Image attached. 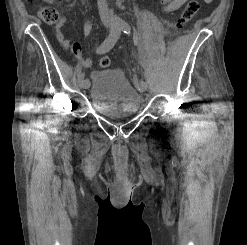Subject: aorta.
Returning <instances> with one entry per match:
<instances>
[{"mask_svg": "<svg viewBox=\"0 0 247 245\" xmlns=\"http://www.w3.org/2000/svg\"><path fill=\"white\" fill-rule=\"evenodd\" d=\"M110 19H111V22L115 25H120L122 23V19L118 17L117 15H115L113 11L110 12Z\"/></svg>", "mask_w": 247, "mask_h": 245, "instance_id": "obj_1", "label": "aorta"}]
</instances>
